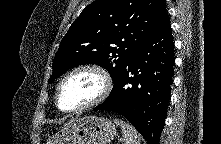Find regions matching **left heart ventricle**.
Wrapping results in <instances>:
<instances>
[{"mask_svg": "<svg viewBox=\"0 0 221 144\" xmlns=\"http://www.w3.org/2000/svg\"><path fill=\"white\" fill-rule=\"evenodd\" d=\"M101 79L93 72H79L69 78L60 93V106L64 109L79 107L92 101L101 90Z\"/></svg>", "mask_w": 221, "mask_h": 144, "instance_id": "left-heart-ventricle-1", "label": "left heart ventricle"}]
</instances>
